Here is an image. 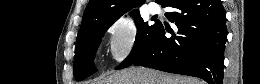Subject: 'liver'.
I'll list each match as a JSON object with an SVG mask.
<instances>
[{"instance_id":"6515ba94","label":"liver","mask_w":260,"mask_h":84,"mask_svg":"<svg viewBox=\"0 0 260 84\" xmlns=\"http://www.w3.org/2000/svg\"><path fill=\"white\" fill-rule=\"evenodd\" d=\"M87 84H204L188 76L162 73L148 68H128L97 82Z\"/></svg>"}]
</instances>
